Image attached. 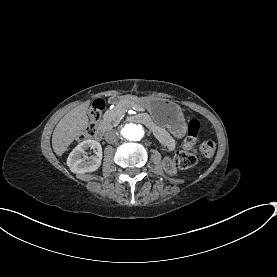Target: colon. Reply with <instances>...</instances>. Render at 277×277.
Returning <instances> with one entry per match:
<instances>
[{
	"mask_svg": "<svg viewBox=\"0 0 277 277\" xmlns=\"http://www.w3.org/2000/svg\"><path fill=\"white\" fill-rule=\"evenodd\" d=\"M105 109V102L97 100L89 109V120L86 122V139H94L98 133V122ZM202 133L201 123L192 119L188 124V134L184 143V148L180 150L174 159L175 165L180 169L193 167L197 162V153L199 152L204 158H211L215 152V143L210 139L200 140Z\"/></svg>",
	"mask_w": 277,
	"mask_h": 277,
	"instance_id": "1",
	"label": "colon"
}]
</instances>
